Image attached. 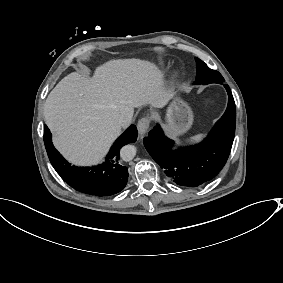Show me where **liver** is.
Segmentation results:
<instances>
[{
  "instance_id": "6515ba94",
  "label": "liver",
  "mask_w": 283,
  "mask_h": 283,
  "mask_svg": "<svg viewBox=\"0 0 283 283\" xmlns=\"http://www.w3.org/2000/svg\"><path fill=\"white\" fill-rule=\"evenodd\" d=\"M164 84L154 63L135 58L110 60L91 79L70 73L44 105L55 147L75 165L97 164L120 135L121 117L131 122L134 108L166 104L171 91Z\"/></svg>"
}]
</instances>
